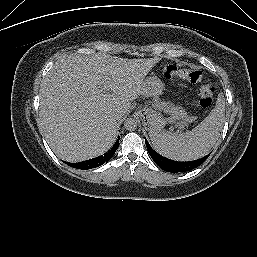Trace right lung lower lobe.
<instances>
[{"mask_svg": "<svg viewBox=\"0 0 257 257\" xmlns=\"http://www.w3.org/2000/svg\"><path fill=\"white\" fill-rule=\"evenodd\" d=\"M118 146H119V138L116 141V143L114 144V146L111 148V150L103 156H100L95 159L87 160L84 162H80V163H68V162H65V163L67 165H69L73 168H77V169H83V170L92 169V168H95V167H98V166L104 164L105 162H108L112 158L114 153L116 152Z\"/></svg>", "mask_w": 257, "mask_h": 257, "instance_id": "1", "label": "right lung lower lobe"}]
</instances>
